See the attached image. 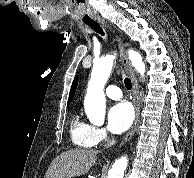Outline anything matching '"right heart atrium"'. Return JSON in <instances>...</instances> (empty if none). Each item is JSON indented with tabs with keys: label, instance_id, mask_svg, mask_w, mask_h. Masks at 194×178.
I'll use <instances>...</instances> for the list:
<instances>
[{
	"label": "right heart atrium",
	"instance_id": "obj_1",
	"mask_svg": "<svg viewBox=\"0 0 194 178\" xmlns=\"http://www.w3.org/2000/svg\"><path fill=\"white\" fill-rule=\"evenodd\" d=\"M109 140L110 137L106 129L97 126H91L90 141L92 145L106 143Z\"/></svg>",
	"mask_w": 194,
	"mask_h": 178
}]
</instances>
